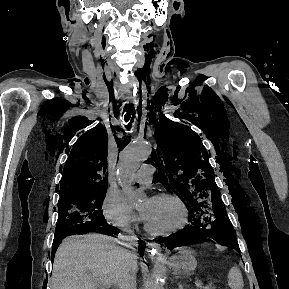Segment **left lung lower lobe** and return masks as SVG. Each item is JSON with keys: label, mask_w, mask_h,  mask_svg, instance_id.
<instances>
[{"label": "left lung lower lobe", "mask_w": 289, "mask_h": 289, "mask_svg": "<svg viewBox=\"0 0 289 289\" xmlns=\"http://www.w3.org/2000/svg\"><path fill=\"white\" fill-rule=\"evenodd\" d=\"M225 211L226 209L221 207L219 214L221 212V214H225L227 216ZM216 232L215 225L206 224L204 221L192 220L189 226L185 227L178 233L168 236L164 239V241L170 245L171 248L193 244L197 237H210L218 241ZM232 240L233 242L237 243L235 235L232 237ZM236 250L240 252L239 248Z\"/></svg>", "instance_id": "0a47b994"}]
</instances>
